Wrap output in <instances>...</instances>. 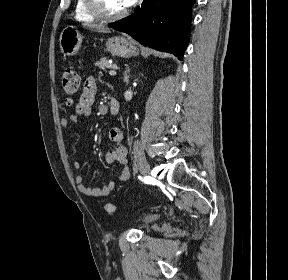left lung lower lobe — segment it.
Instances as JSON below:
<instances>
[{"label": "left lung lower lobe", "instance_id": "left-lung-lower-lobe-1", "mask_svg": "<svg viewBox=\"0 0 288 280\" xmlns=\"http://www.w3.org/2000/svg\"><path fill=\"white\" fill-rule=\"evenodd\" d=\"M195 0H144L132 15L110 23L144 46L169 52L182 60L189 42Z\"/></svg>", "mask_w": 288, "mask_h": 280}]
</instances>
